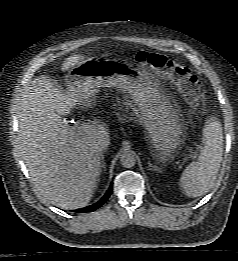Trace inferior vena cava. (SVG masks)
Masks as SVG:
<instances>
[{"label":"inferior vena cava","instance_id":"1","mask_svg":"<svg viewBox=\"0 0 238 261\" xmlns=\"http://www.w3.org/2000/svg\"><path fill=\"white\" fill-rule=\"evenodd\" d=\"M108 148L107 143H99L97 146V150L102 153V151L106 150Z\"/></svg>","mask_w":238,"mask_h":261}]
</instances>
